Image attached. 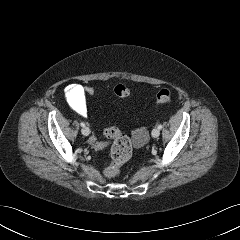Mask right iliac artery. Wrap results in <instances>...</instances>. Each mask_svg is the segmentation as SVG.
<instances>
[{"label":"right iliac artery","mask_w":240,"mask_h":240,"mask_svg":"<svg viewBox=\"0 0 240 240\" xmlns=\"http://www.w3.org/2000/svg\"><path fill=\"white\" fill-rule=\"evenodd\" d=\"M80 125H81L82 127H85V123H84V122H81Z\"/></svg>","instance_id":"82829eb1"}]
</instances>
